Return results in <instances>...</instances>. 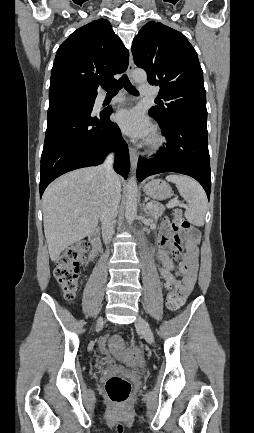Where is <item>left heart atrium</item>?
<instances>
[{
  "instance_id": "left-heart-atrium-1",
  "label": "left heart atrium",
  "mask_w": 254,
  "mask_h": 433,
  "mask_svg": "<svg viewBox=\"0 0 254 433\" xmlns=\"http://www.w3.org/2000/svg\"><path fill=\"white\" fill-rule=\"evenodd\" d=\"M116 121L126 134L135 138L147 137L151 132V125L139 108L119 111Z\"/></svg>"
}]
</instances>
